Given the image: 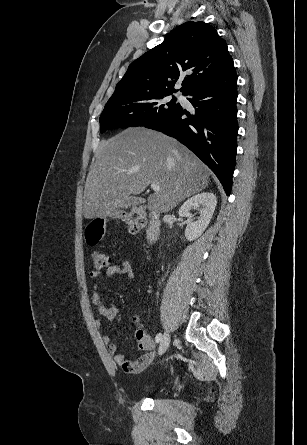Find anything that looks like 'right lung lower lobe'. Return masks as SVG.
Masks as SVG:
<instances>
[{"instance_id": "1", "label": "right lung lower lobe", "mask_w": 307, "mask_h": 445, "mask_svg": "<svg viewBox=\"0 0 307 445\" xmlns=\"http://www.w3.org/2000/svg\"><path fill=\"white\" fill-rule=\"evenodd\" d=\"M185 95L195 107L190 115L181 106L146 128L176 138L193 151L230 194L237 150V75L233 63ZM182 115L188 118L183 119Z\"/></svg>"}]
</instances>
